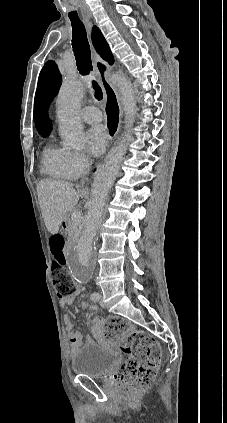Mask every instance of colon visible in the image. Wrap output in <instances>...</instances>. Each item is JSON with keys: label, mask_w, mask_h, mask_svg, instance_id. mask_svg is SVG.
<instances>
[{"label": "colon", "mask_w": 227, "mask_h": 423, "mask_svg": "<svg viewBox=\"0 0 227 423\" xmlns=\"http://www.w3.org/2000/svg\"><path fill=\"white\" fill-rule=\"evenodd\" d=\"M65 244V238L61 234L50 238L53 280L61 297L76 293L75 282L67 270ZM105 324L110 336L121 338L122 350L128 355L119 371L123 389L129 394L146 390L152 384L160 365L161 349L158 342L145 331L134 329L119 318L110 317Z\"/></svg>", "instance_id": "colon-1"}]
</instances>
